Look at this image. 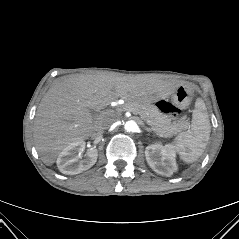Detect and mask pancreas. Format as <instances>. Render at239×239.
Wrapping results in <instances>:
<instances>
[{"instance_id":"obj_1","label":"pancreas","mask_w":239,"mask_h":239,"mask_svg":"<svg viewBox=\"0 0 239 239\" xmlns=\"http://www.w3.org/2000/svg\"><path fill=\"white\" fill-rule=\"evenodd\" d=\"M125 107L140 117L149 125L151 129L160 137H172L188 127L185 117L176 121L163 114L156 106L149 103H126Z\"/></svg>"}]
</instances>
